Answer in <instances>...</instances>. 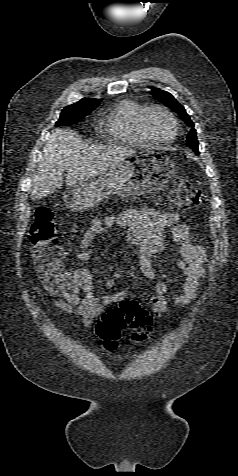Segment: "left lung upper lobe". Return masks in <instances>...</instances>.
<instances>
[{
	"label": "left lung upper lobe",
	"instance_id": "1",
	"mask_svg": "<svg viewBox=\"0 0 238 476\" xmlns=\"http://www.w3.org/2000/svg\"><path fill=\"white\" fill-rule=\"evenodd\" d=\"M153 96L159 101L163 102L166 106L171 108L173 111L178 113L180 117L192 127V130L188 133L186 139V145L193 149L195 152H198V141L196 136V130L194 128V123L191 121L190 117L186 113L184 107L178 103V101L168 92L160 90L158 88L153 89Z\"/></svg>",
	"mask_w": 238,
	"mask_h": 476
}]
</instances>
